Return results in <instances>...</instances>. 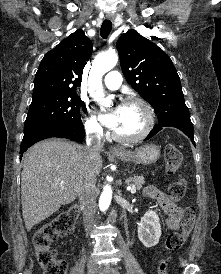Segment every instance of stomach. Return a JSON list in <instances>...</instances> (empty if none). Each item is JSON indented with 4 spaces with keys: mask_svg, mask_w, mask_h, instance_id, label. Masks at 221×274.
<instances>
[{
    "mask_svg": "<svg viewBox=\"0 0 221 274\" xmlns=\"http://www.w3.org/2000/svg\"><path fill=\"white\" fill-rule=\"evenodd\" d=\"M115 156L124 162L148 165L155 163L160 158V147L154 144H146L134 151H122Z\"/></svg>",
    "mask_w": 221,
    "mask_h": 274,
    "instance_id": "1",
    "label": "stomach"
}]
</instances>
